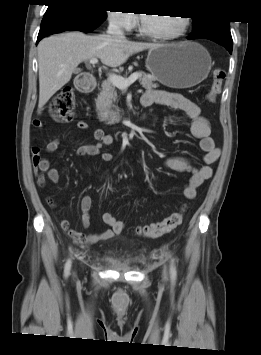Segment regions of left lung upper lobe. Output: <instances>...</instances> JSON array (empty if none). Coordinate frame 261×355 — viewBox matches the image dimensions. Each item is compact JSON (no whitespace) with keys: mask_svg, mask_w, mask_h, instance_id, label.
Listing matches in <instances>:
<instances>
[{"mask_svg":"<svg viewBox=\"0 0 261 355\" xmlns=\"http://www.w3.org/2000/svg\"><path fill=\"white\" fill-rule=\"evenodd\" d=\"M194 31L190 35L192 39L205 36L231 39L230 22L218 19L192 18Z\"/></svg>","mask_w":261,"mask_h":355,"instance_id":"1","label":"left lung upper lobe"}]
</instances>
